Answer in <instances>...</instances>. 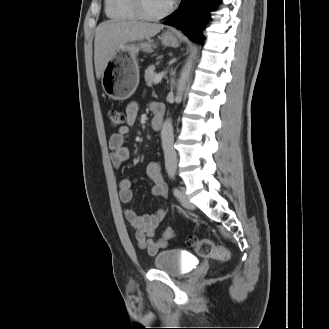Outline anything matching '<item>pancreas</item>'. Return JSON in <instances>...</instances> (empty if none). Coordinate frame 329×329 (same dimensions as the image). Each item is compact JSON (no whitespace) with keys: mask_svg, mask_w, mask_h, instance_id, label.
Instances as JSON below:
<instances>
[{"mask_svg":"<svg viewBox=\"0 0 329 329\" xmlns=\"http://www.w3.org/2000/svg\"><path fill=\"white\" fill-rule=\"evenodd\" d=\"M155 67L154 65H150L146 70H145V81L148 86H151L152 83L154 82V78L156 76V73L154 72Z\"/></svg>","mask_w":329,"mask_h":329,"instance_id":"cf45deb5","label":"pancreas"}]
</instances>
